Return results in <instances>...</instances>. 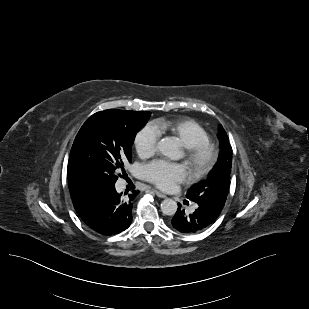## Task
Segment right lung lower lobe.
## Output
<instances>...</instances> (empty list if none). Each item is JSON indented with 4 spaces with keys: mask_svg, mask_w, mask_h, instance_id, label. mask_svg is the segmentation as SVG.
<instances>
[{
    "mask_svg": "<svg viewBox=\"0 0 309 309\" xmlns=\"http://www.w3.org/2000/svg\"><path fill=\"white\" fill-rule=\"evenodd\" d=\"M68 184L73 205L90 228L103 235H113L130 226L137 191L123 198L115 186H99L75 177L68 178Z\"/></svg>",
    "mask_w": 309,
    "mask_h": 309,
    "instance_id": "obj_1",
    "label": "right lung lower lobe"
}]
</instances>
